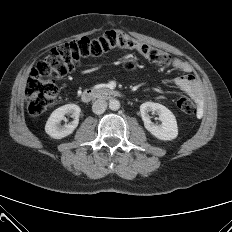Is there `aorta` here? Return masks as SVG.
Returning <instances> with one entry per match:
<instances>
[{
  "mask_svg": "<svg viewBox=\"0 0 232 232\" xmlns=\"http://www.w3.org/2000/svg\"><path fill=\"white\" fill-rule=\"evenodd\" d=\"M109 108L113 111H116L120 108V102L117 99H111L109 101Z\"/></svg>",
  "mask_w": 232,
  "mask_h": 232,
  "instance_id": "aorta-1",
  "label": "aorta"
}]
</instances>
